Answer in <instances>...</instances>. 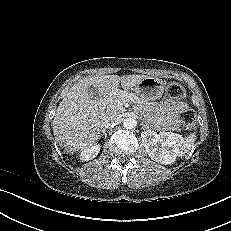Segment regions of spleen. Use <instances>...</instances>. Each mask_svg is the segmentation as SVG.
Wrapping results in <instances>:
<instances>
[{
  "mask_svg": "<svg viewBox=\"0 0 231 231\" xmlns=\"http://www.w3.org/2000/svg\"><path fill=\"white\" fill-rule=\"evenodd\" d=\"M195 140H196V134L195 133L189 134L185 138L182 146L179 148L178 156H180V157L184 156L185 153L189 152V150L193 146Z\"/></svg>",
  "mask_w": 231,
  "mask_h": 231,
  "instance_id": "3e777b00",
  "label": "spleen"
}]
</instances>
